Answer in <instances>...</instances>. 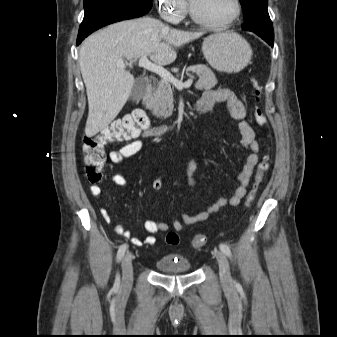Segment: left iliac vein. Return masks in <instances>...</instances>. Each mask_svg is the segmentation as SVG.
<instances>
[{
    "label": "left iliac vein",
    "instance_id": "obj_1",
    "mask_svg": "<svg viewBox=\"0 0 337 337\" xmlns=\"http://www.w3.org/2000/svg\"><path fill=\"white\" fill-rule=\"evenodd\" d=\"M214 255L219 265V273H220V279H221L222 284L225 287L231 286L232 277L230 274L229 263H228L226 256L224 255V253L220 251H215Z\"/></svg>",
    "mask_w": 337,
    "mask_h": 337
}]
</instances>
